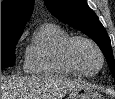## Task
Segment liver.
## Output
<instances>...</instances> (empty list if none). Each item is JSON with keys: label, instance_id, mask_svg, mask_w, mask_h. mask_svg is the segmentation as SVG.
<instances>
[{"label": "liver", "instance_id": "liver-1", "mask_svg": "<svg viewBox=\"0 0 115 99\" xmlns=\"http://www.w3.org/2000/svg\"><path fill=\"white\" fill-rule=\"evenodd\" d=\"M83 86L58 76L9 77L1 79V99H61Z\"/></svg>", "mask_w": 115, "mask_h": 99}]
</instances>
